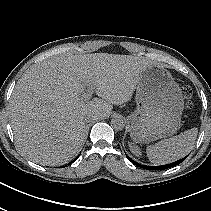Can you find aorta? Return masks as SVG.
<instances>
[{"instance_id":"1","label":"aorta","mask_w":211,"mask_h":211,"mask_svg":"<svg viewBox=\"0 0 211 211\" xmlns=\"http://www.w3.org/2000/svg\"><path fill=\"white\" fill-rule=\"evenodd\" d=\"M111 126L113 127V129L119 131L124 128L125 122L121 117L117 116V117H114L113 119H111Z\"/></svg>"}]
</instances>
